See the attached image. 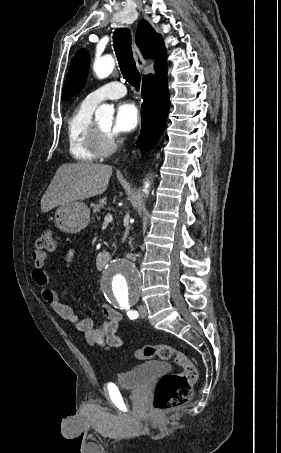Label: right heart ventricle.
I'll list each match as a JSON object with an SVG mask.
<instances>
[{"label": "right heart ventricle", "instance_id": "obj_1", "mask_svg": "<svg viewBox=\"0 0 281 453\" xmlns=\"http://www.w3.org/2000/svg\"><path fill=\"white\" fill-rule=\"evenodd\" d=\"M98 104L85 99L67 118L69 150L75 160L92 161L96 158L91 136L93 114Z\"/></svg>", "mask_w": 281, "mask_h": 453}]
</instances>
